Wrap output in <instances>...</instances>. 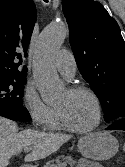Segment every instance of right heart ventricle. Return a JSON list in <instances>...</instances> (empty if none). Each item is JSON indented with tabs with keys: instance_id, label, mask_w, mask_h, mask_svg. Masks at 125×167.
<instances>
[{
	"instance_id": "obj_1",
	"label": "right heart ventricle",
	"mask_w": 125,
	"mask_h": 167,
	"mask_svg": "<svg viewBox=\"0 0 125 167\" xmlns=\"http://www.w3.org/2000/svg\"><path fill=\"white\" fill-rule=\"evenodd\" d=\"M48 128L50 130H63L64 129V127L60 121V117H59V114H58L56 108H55L53 118H52Z\"/></svg>"
}]
</instances>
